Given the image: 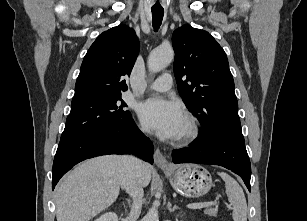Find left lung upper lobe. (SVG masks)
I'll return each mask as SVG.
<instances>
[{
    "label": "left lung upper lobe",
    "instance_id": "5c2ea615",
    "mask_svg": "<svg viewBox=\"0 0 307 221\" xmlns=\"http://www.w3.org/2000/svg\"><path fill=\"white\" fill-rule=\"evenodd\" d=\"M178 91L200 121V136L222 135L244 143L227 56L206 31L184 25L172 36Z\"/></svg>",
    "mask_w": 307,
    "mask_h": 221
}]
</instances>
